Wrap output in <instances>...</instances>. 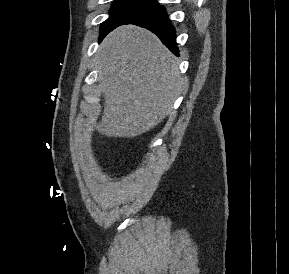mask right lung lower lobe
<instances>
[{
	"mask_svg": "<svg viewBox=\"0 0 289 274\" xmlns=\"http://www.w3.org/2000/svg\"><path fill=\"white\" fill-rule=\"evenodd\" d=\"M124 24H135L147 28L155 33L171 52L179 56V51L176 44L175 28L169 21L167 12L163 6L156 5L127 20L121 25Z\"/></svg>",
	"mask_w": 289,
	"mask_h": 274,
	"instance_id": "right-lung-lower-lobe-1",
	"label": "right lung lower lobe"
}]
</instances>
